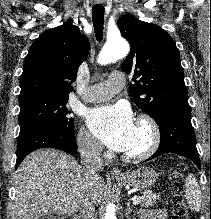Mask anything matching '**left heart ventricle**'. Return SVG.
<instances>
[{
  "instance_id": "b2bd125f",
  "label": "left heart ventricle",
  "mask_w": 211,
  "mask_h": 219,
  "mask_svg": "<svg viewBox=\"0 0 211 219\" xmlns=\"http://www.w3.org/2000/svg\"><path fill=\"white\" fill-rule=\"evenodd\" d=\"M148 141H149V133L147 129L140 125H137L134 141L126 152L127 153L138 152L147 145Z\"/></svg>"
}]
</instances>
